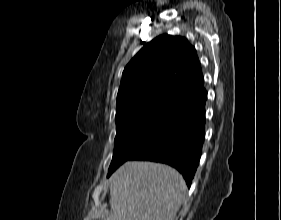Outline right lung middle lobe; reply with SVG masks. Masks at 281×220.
<instances>
[{
	"label": "right lung middle lobe",
	"instance_id": "1",
	"mask_svg": "<svg viewBox=\"0 0 281 220\" xmlns=\"http://www.w3.org/2000/svg\"><path fill=\"white\" fill-rule=\"evenodd\" d=\"M168 119L169 116L149 114L116 120L115 148L108 176L146 144Z\"/></svg>",
	"mask_w": 281,
	"mask_h": 220
}]
</instances>
